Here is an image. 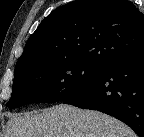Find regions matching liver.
I'll list each match as a JSON object with an SVG mask.
<instances>
[{
    "instance_id": "6515ba94",
    "label": "liver",
    "mask_w": 144,
    "mask_h": 137,
    "mask_svg": "<svg viewBox=\"0 0 144 137\" xmlns=\"http://www.w3.org/2000/svg\"><path fill=\"white\" fill-rule=\"evenodd\" d=\"M6 137H136L123 122L94 110L59 104L41 112L12 114Z\"/></svg>"
}]
</instances>
